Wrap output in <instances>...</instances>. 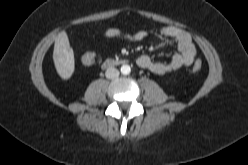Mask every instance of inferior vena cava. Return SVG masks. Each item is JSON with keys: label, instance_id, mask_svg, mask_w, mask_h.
<instances>
[{"label": "inferior vena cava", "instance_id": "inferior-vena-cava-1", "mask_svg": "<svg viewBox=\"0 0 248 165\" xmlns=\"http://www.w3.org/2000/svg\"><path fill=\"white\" fill-rule=\"evenodd\" d=\"M120 72L116 68H108L105 72L106 78L108 79H114L119 76Z\"/></svg>", "mask_w": 248, "mask_h": 165}]
</instances>
